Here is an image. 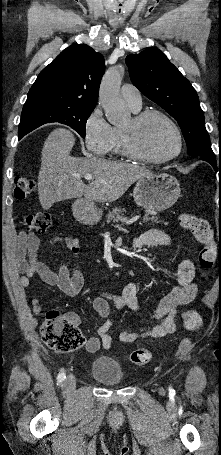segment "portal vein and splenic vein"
<instances>
[{
    "mask_svg": "<svg viewBox=\"0 0 221 455\" xmlns=\"http://www.w3.org/2000/svg\"><path fill=\"white\" fill-rule=\"evenodd\" d=\"M86 180H92L93 179V176L91 174H85L83 176ZM140 218V215L138 216H134L133 218L129 219V220H126L122 223V225H130L134 222H136L138 219ZM121 226V225H120ZM117 227H119V225H117Z\"/></svg>",
    "mask_w": 221,
    "mask_h": 455,
    "instance_id": "portal-vein-and-splenic-vein-1",
    "label": "portal vein and splenic vein"
}]
</instances>
